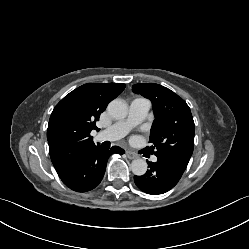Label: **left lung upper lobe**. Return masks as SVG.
Wrapping results in <instances>:
<instances>
[{
	"instance_id": "1",
	"label": "left lung upper lobe",
	"mask_w": 249,
	"mask_h": 249,
	"mask_svg": "<svg viewBox=\"0 0 249 249\" xmlns=\"http://www.w3.org/2000/svg\"><path fill=\"white\" fill-rule=\"evenodd\" d=\"M132 91L151 100L155 120L145 150L156 156L188 164L194 148L195 125L189 106L170 89L153 83H139Z\"/></svg>"
}]
</instances>
